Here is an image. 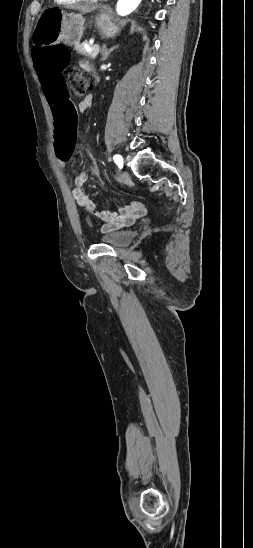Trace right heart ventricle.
Returning <instances> with one entry per match:
<instances>
[{
	"mask_svg": "<svg viewBox=\"0 0 253 548\" xmlns=\"http://www.w3.org/2000/svg\"><path fill=\"white\" fill-rule=\"evenodd\" d=\"M84 0H54V2L58 5H65V6H68V5H74V4H77V3H80Z\"/></svg>",
	"mask_w": 253,
	"mask_h": 548,
	"instance_id": "right-heart-ventricle-1",
	"label": "right heart ventricle"
}]
</instances>
